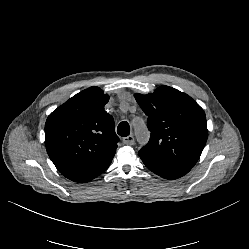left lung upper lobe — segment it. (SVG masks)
<instances>
[{
    "label": "left lung upper lobe",
    "instance_id": "5c2ea615",
    "mask_svg": "<svg viewBox=\"0 0 249 249\" xmlns=\"http://www.w3.org/2000/svg\"><path fill=\"white\" fill-rule=\"evenodd\" d=\"M135 98L148 116L151 132L149 142L139 150L140 158L191 169L208 137L203 109L187 94L168 86L147 95L135 94Z\"/></svg>",
    "mask_w": 249,
    "mask_h": 249
}]
</instances>
